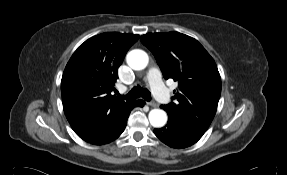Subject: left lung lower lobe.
Returning a JSON list of instances; mask_svg holds the SVG:
<instances>
[{"label":"left lung lower lobe","mask_w":287,"mask_h":175,"mask_svg":"<svg viewBox=\"0 0 287 175\" xmlns=\"http://www.w3.org/2000/svg\"><path fill=\"white\" fill-rule=\"evenodd\" d=\"M154 133L166 145L177 149L189 147L202 137L171 117L164 127L154 129Z\"/></svg>","instance_id":"1"}]
</instances>
